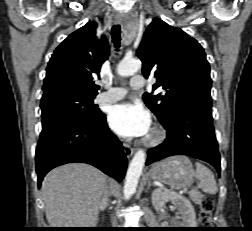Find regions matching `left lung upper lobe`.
Instances as JSON below:
<instances>
[{
    "instance_id": "5c2ea615",
    "label": "left lung upper lobe",
    "mask_w": 252,
    "mask_h": 231,
    "mask_svg": "<svg viewBox=\"0 0 252 231\" xmlns=\"http://www.w3.org/2000/svg\"><path fill=\"white\" fill-rule=\"evenodd\" d=\"M143 63L142 73L157 79L164 93L143 99L158 120L164 121L172 109L184 102L211 105L210 67L202 46L183 30L154 18L136 52Z\"/></svg>"
}]
</instances>
